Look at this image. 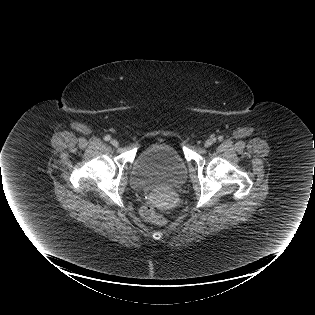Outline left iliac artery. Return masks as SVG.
I'll use <instances>...</instances> for the list:
<instances>
[{
  "mask_svg": "<svg viewBox=\"0 0 315 315\" xmlns=\"http://www.w3.org/2000/svg\"><path fill=\"white\" fill-rule=\"evenodd\" d=\"M218 139H219V141H221V140L223 139V137H222V136H219Z\"/></svg>",
  "mask_w": 315,
  "mask_h": 315,
  "instance_id": "left-iliac-artery-1",
  "label": "left iliac artery"
}]
</instances>
